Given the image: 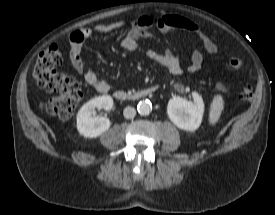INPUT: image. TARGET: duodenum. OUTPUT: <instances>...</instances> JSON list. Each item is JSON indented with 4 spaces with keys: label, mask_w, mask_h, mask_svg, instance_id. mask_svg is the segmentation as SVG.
Returning a JSON list of instances; mask_svg holds the SVG:
<instances>
[{
    "label": "duodenum",
    "mask_w": 275,
    "mask_h": 215,
    "mask_svg": "<svg viewBox=\"0 0 275 215\" xmlns=\"http://www.w3.org/2000/svg\"><path fill=\"white\" fill-rule=\"evenodd\" d=\"M159 90L158 85L149 86L134 92H127L124 90H116L114 92V97L118 101H136L145 97H148Z\"/></svg>",
    "instance_id": "410a0bca"
}]
</instances>
